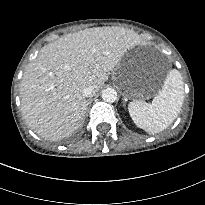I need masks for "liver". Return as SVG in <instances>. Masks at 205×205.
Here are the masks:
<instances>
[{"label":"liver","mask_w":205,"mask_h":205,"mask_svg":"<svg viewBox=\"0 0 205 205\" xmlns=\"http://www.w3.org/2000/svg\"><path fill=\"white\" fill-rule=\"evenodd\" d=\"M136 42L133 31L95 27L42 47L26 67L20 85L22 114L28 126L48 140L71 136L87 109L83 89L92 85L98 92Z\"/></svg>","instance_id":"6515ba94"}]
</instances>
